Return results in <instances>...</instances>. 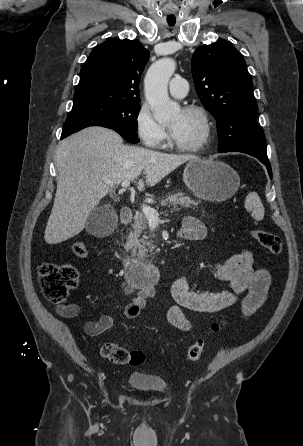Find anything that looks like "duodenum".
Listing matches in <instances>:
<instances>
[{
    "label": "duodenum",
    "mask_w": 303,
    "mask_h": 446,
    "mask_svg": "<svg viewBox=\"0 0 303 446\" xmlns=\"http://www.w3.org/2000/svg\"><path fill=\"white\" fill-rule=\"evenodd\" d=\"M132 219V211L129 208L122 209L120 213L121 223L127 225ZM123 264L126 268L128 282L130 286L135 288L154 284L160 274V268L155 263L127 258L123 261Z\"/></svg>",
    "instance_id": "1"
}]
</instances>
